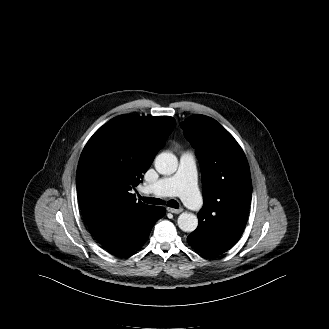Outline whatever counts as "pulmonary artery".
Instances as JSON below:
<instances>
[{"label":"pulmonary artery","mask_w":329,"mask_h":329,"mask_svg":"<svg viewBox=\"0 0 329 329\" xmlns=\"http://www.w3.org/2000/svg\"><path fill=\"white\" fill-rule=\"evenodd\" d=\"M147 193L156 196H180L185 204L194 211L203 207V201L196 185L195 157L191 152H183L175 174L160 178Z\"/></svg>","instance_id":"pulmonary-artery-1"}]
</instances>
